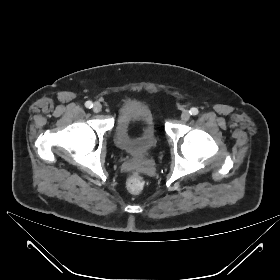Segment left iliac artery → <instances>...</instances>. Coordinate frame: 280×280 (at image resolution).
<instances>
[{"mask_svg":"<svg viewBox=\"0 0 280 280\" xmlns=\"http://www.w3.org/2000/svg\"><path fill=\"white\" fill-rule=\"evenodd\" d=\"M189 112L191 115H197L199 113V110L197 108L193 107L190 109Z\"/></svg>","mask_w":280,"mask_h":280,"instance_id":"44dca946","label":"left iliac artery"}]
</instances>
